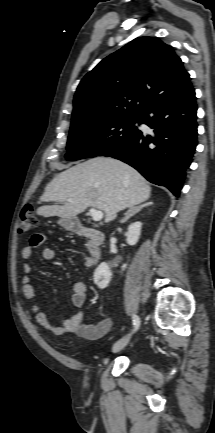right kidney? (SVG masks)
I'll return each instance as SVG.
<instances>
[{
	"label": "right kidney",
	"instance_id": "obj_1",
	"mask_svg": "<svg viewBox=\"0 0 215 433\" xmlns=\"http://www.w3.org/2000/svg\"><path fill=\"white\" fill-rule=\"evenodd\" d=\"M141 222H134L128 227V233H127V243L131 246L135 245L140 237L141 234ZM126 264L122 266V269L124 270L126 268ZM112 273L110 271L109 266L107 263L103 262L101 263L94 272V282L100 289H104L108 286L110 280H111Z\"/></svg>",
	"mask_w": 215,
	"mask_h": 433
}]
</instances>
